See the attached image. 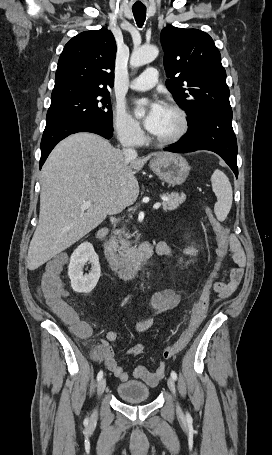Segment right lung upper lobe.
Wrapping results in <instances>:
<instances>
[{"label": "right lung upper lobe", "instance_id": "right-lung-upper-lobe-1", "mask_svg": "<svg viewBox=\"0 0 272 455\" xmlns=\"http://www.w3.org/2000/svg\"><path fill=\"white\" fill-rule=\"evenodd\" d=\"M116 42L111 31H86L64 47L51 101L70 96L108 94L114 85Z\"/></svg>", "mask_w": 272, "mask_h": 455}]
</instances>
